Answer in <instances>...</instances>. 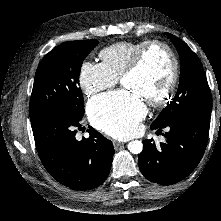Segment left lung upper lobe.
I'll return each instance as SVG.
<instances>
[{
	"label": "left lung upper lobe",
	"instance_id": "left-lung-upper-lobe-1",
	"mask_svg": "<svg viewBox=\"0 0 221 221\" xmlns=\"http://www.w3.org/2000/svg\"><path fill=\"white\" fill-rule=\"evenodd\" d=\"M166 35L179 53L181 73L176 96L152 123L160 128L191 114L211 116L212 110L211 91L201 61L181 39L169 33Z\"/></svg>",
	"mask_w": 221,
	"mask_h": 221
}]
</instances>
